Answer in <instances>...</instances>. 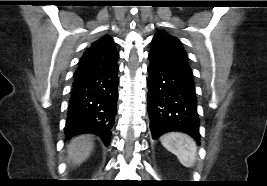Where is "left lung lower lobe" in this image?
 <instances>
[{"mask_svg": "<svg viewBox=\"0 0 267 186\" xmlns=\"http://www.w3.org/2000/svg\"><path fill=\"white\" fill-rule=\"evenodd\" d=\"M148 113L150 131L157 139L181 131L200 142L197 98L193 77L149 55Z\"/></svg>", "mask_w": 267, "mask_h": 186, "instance_id": "0a47b994", "label": "left lung lower lobe"}]
</instances>
